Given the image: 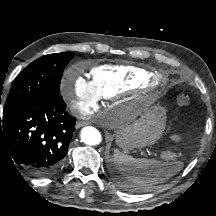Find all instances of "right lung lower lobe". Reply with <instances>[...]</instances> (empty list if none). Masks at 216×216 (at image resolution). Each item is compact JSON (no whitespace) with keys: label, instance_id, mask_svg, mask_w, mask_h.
I'll list each match as a JSON object with an SVG mask.
<instances>
[{"label":"right lung lower lobe","instance_id":"1","mask_svg":"<svg viewBox=\"0 0 216 216\" xmlns=\"http://www.w3.org/2000/svg\"><path fill=\"white\" fill-rule=\"evenodd\" d=\"M65 108L62 96L57 95L4 114L0 117V155L36 177L58 173L76 125V118Z\"/></svg>","mask_w":216,"mask_h":216}]
</instances>
